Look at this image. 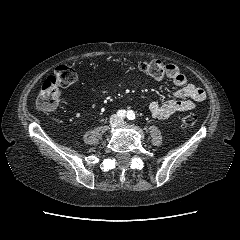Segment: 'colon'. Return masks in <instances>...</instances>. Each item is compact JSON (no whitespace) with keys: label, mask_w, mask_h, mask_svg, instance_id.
I'll list each match as a JSON object with an SVG mask.
<instances>
[{"label":"colon","mask_w":240,"mask_h":240,"mask_svg":"<svg viewBox=\"0 0 240 240\" xmlns=\"http://www.w3.org/2000/svg\"><path fill=\"white\" fill-rule=\"evenodd\" d=\"M156 80H162L167 76L168 66L161 60L140 62L131 66ZM79 78V71L72 66L60 65L55 68L53 74L46 77L36 99L39 110L50 111L59 103L60 89L75 83ZM196 116L192 113L185 114L180 118L182 127H192L196 123Z\"/></svg>","instance_id":"5ec220e1"}]
</instances>
